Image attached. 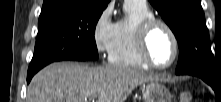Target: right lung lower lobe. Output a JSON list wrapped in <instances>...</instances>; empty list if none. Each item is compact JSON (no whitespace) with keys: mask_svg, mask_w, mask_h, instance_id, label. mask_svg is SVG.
Returning a JSON list of instances; mask_svg holds the SVG:
<instances>
[{"mask_svg":"<svg viewBox=\"0 0 221 102\" xmlns=\"http://www.w3.org/2000/svg\"><path fill=\"white\" fill-rule=\"evenodd\" d=\"M67 60H73V61H85L87 59H84V58H78V57H75V58H70V59H67ZM36 72L34 73H28L27 75V83H29L32 79V77L34 76Z\"/></svg>","mask_w":221,"mask_h":102,"instance_id":"1","label":"right lung lower lobe"}]
</instances>
